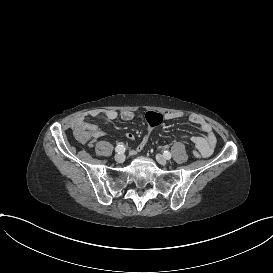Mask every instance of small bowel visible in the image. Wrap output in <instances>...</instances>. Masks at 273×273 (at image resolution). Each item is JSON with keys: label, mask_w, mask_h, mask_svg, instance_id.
<instances>
[{"label": "small bowel", "mask_w": 273, "mask_h": 273, "mask_svg": "<svg viewBox=\"0 0 273 273\" xmlns=\"http://www.w3.org/2000/svg\"><path fill=\"white\" fill-rule=\"evenodd\" d=\"M95 117H103L107 120H116L121 119L122 121H131L134 119L135 114L130 110H123L121 112H117L116 110L107 109V110H92L85 115L81 121H78L74 125V129L77 132V137L81 141L88 140L92 143L94 149L99 150L102 148L103 143L99 140V130L93 124ZM181 115L179 113L168 112L165 114V120L171 121L179 119ZM189 121L196 125L202 132L203 135H195L191 137V141L194 144L197 151L200 152L202 157H209L216 146V135L214 133L213 127L210 123H208L203 117L197 114H191L189 116ZM106 135V131L103 130V136ZM102 136V137H103ZM128 140L133 141L135 139V135L132 132H128L126 134ZM136 153H140L135 148Z\"/></svg>", "instance_id": "1"}]
</instances>
